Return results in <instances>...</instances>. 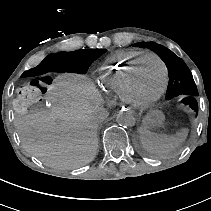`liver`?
<instances>
[{"mask_svg":"<svg viewBox=\"0 0 211 211\" xmlns=\"http://www.w3.org/2000/svg\"><path fill=\"white\" fill-rule=\"evenodd\" d=\"M54 100L49 112L21 116L16 130L25 149L60 169H75L91 162L97 152L99 109L103 100L85 75L58 76L49 91Z\"/></svg>","mask_w":211,"mask_h":211,"instance_id":"1","label":"liver"}]
</instances>
